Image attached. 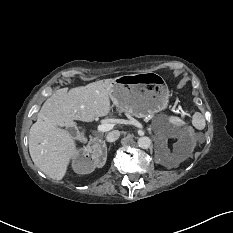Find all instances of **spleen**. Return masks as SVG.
Masks as SVG:
<instances>
[{"label":"spleen","instance_id":"obj_1","mask_svg":"<svg viewBox=\"0 0 233 233\" xmlns=\"http://www.w3.org/2000/svg\"><path fill=\"white\" fill-rule=\"evenodd\" d=\"M168 122H169V124L173 125L174 127L186 126L185 122L177 116H170L168 118ZM192 125L198 130L204 129L206 123H205V119L201 113H199V112L194 113V115L192 117Z\"/></svg>","mask_w":233,"mask_h":233}]
</instances>
